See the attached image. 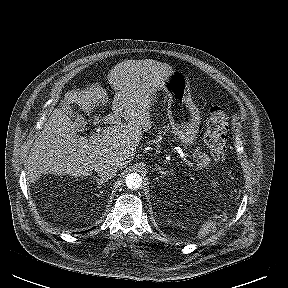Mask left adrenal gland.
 <instances>
[{
  "label": "left adrenal gland",
  "instance_id": "obj_1",
  "mask_svg": "<svg viewBox=\"0 0 288 288\" xmlns=\"http://www.w3.org/2000/svg\"><path fill=\"white\" fill-rule=\"evenodd\" d=\"M156 169L158 170V172L161 174V177L170 173L168 170L164 171L161 167L156 166Z\"/></svg>",
  "mask_w": 288,
  "mask_h": 288
}]
</instances>
